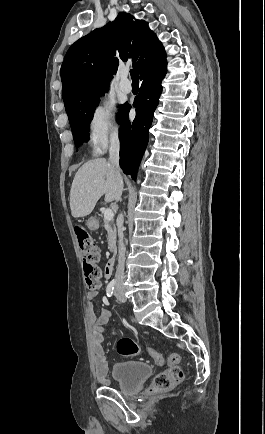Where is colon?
Here are the masks:
<instances>
[{"mask_svg":"<svg viewBox=\"0 0 265 434\" xmlns=\"http://www.w3.org/2000/svg\"><path fill=\"white\" fill-rule=\"evenodd\" d=\"M77 238L80 254L83 259L84 280L86 286L95 291L100 287L101 271L98 266L99 248L94 243L92 236L84 225L77 224L73 228ZM116 350L121 356H134L144 353V349L139 346L131 337L121 338L116 345ZM153 359L158 364L169 366L165 371L156 374L153 378L151 391L164 392L173 389L184 379V371L177 364L178 356H163L160 353H154Z\"/></svg>","mask_w":265,"mask_h":434,"instance_id":"obj_1","label":"colon"}]
</instances>
